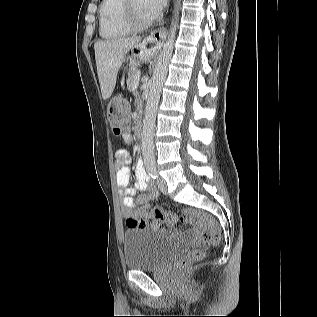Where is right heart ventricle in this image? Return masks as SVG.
<instances>
[{
	"label": "right heart ventricle",
	"mask_w": 317,
	"mask_h": 317,
	"mask_svg": "<svg viewBox=\"0 0 317 317\" xmlns=\"http://www.w3.org/2000/svg\"><path fill=\"white\" fill-rule=\"evenodd\" d=\"M123 0H102L99 9V34L105 40H115L129 35L122 16Z\"/></svg>",
	"instance_id": "1"
}]
</instances>
